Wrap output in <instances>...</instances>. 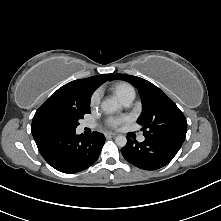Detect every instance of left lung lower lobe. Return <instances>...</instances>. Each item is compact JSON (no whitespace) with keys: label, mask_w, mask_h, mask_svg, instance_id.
<instances>
[{"label":"left lung lower lobe","mask_w":221,"mask_h":221,"mask_svg":"<svg viewBox=\"0 0 221 221\" xmlns=\"http://www.w3.org/2000/svg\"><path fill=\"white\" fill-rule=\"evenodd\" d=\"M182 141L176 139L148 138L141 143L127 137V144L121 149L123 157L132 165L155 170L168 164L179 151Z\"/></svg>","instance_id":"obj_1"}]
</instances>
